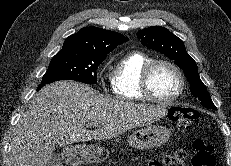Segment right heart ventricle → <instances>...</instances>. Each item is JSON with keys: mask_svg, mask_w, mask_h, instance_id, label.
<instances>
[{"mask_svg": "<svg viewBox=\"0 0 231 166\" xmlns=\"http://www.w3.org/2000/svg\"><path fill=\"white\" fill-rule=\"evenodd\" d=\"M153 58L141 51H130L116 63L112 72V90L116 98L126 101H140L145 97L140 80L143 68Z\"/></svg>", "mask_w": 231, "mask_h": 166, "instance_id": "e07e8e85", "label": "right heart ventricle"}]
</instances>
